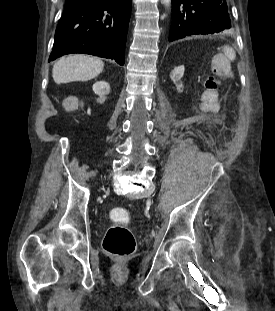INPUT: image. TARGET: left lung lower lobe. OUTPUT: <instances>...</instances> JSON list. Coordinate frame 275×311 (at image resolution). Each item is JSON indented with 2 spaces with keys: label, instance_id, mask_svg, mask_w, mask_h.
Segmentation results:
<instances>
[{
  "label": "left lung lower lobe",
  "instance_id": "left-lung-lower-lobe-1",
  "mask_svg": "<svg viewBox=\"0 0 275 311\" xmlns=\"http://www.w3.org/2000/svg\"><path fill=\"white\" fill-rule=\"evenodd\" d=\"M169 41L191 35L219 33L231 28L225 0H172Z\"/></svg>",
  "mask_w": 275,
  "mask_h": 311
}]
</instances>
